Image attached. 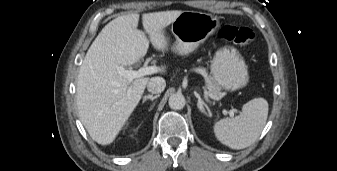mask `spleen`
Wrapping results in <instances>:
<instances>
[{
    "label": "spleen",
    "mask_w": 337,
    "mask_h": 171,
    "mask_svg": "<svg viewBox=\"0 0 337 171\" xmlns=\"http://www.w3.org/2000/svg\"><path fill=\"white\" fill-rule=\"evenodd\" d=\"M269 105L264 98H255L242 107L235 118H224L214 125L216 138L231 149H244L260 136L268 117Z\"/></svg>",
    "instance_id": "3e777b00"
}]
</instances>
